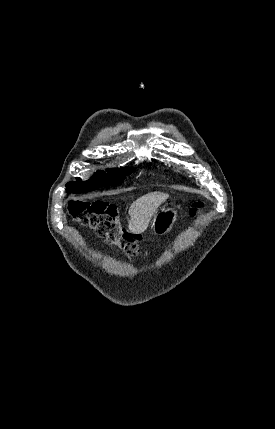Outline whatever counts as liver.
Returning a JSON list of instances; mask_svg holds the SVG:
<instances>
[{"label": "liver", "instance_id": "liver-1", "mask_svg": "<svg viewBox=\"0 0 275 429\" xmlns=\"http://www.w3.org/2000/svg\"><path fill=\"white\" fill-rule=\"evenodd\" d=\"M169 195L162 192L148 193L136 201L129 208V230L134 234L144 232L157 208L168 199Z\"/></svg>", "mask_w": 275, "mask_h": 429}]
</instances>
